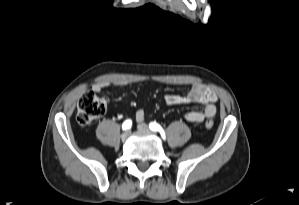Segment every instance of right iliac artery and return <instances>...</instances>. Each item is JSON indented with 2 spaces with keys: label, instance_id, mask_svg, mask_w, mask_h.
Wrapping results in <instances>:
<instances>
[{
  "label": "right iliac artery",
  "instance_id": "1",
  "mask_svg": "<svg viewBox=\"0 0 299 205\" xmlns=\"http://www.w3.org/2000/svg\"><path fill=\"white\" fill-rule=\"evenodd\" d=\"M132 126V121L130 119L126 120L123 125H122V129L123 130H127L130 129Z\"/></svg>",
  "mask_w": 299,
  "mask_h": 205
}]
</instances>
